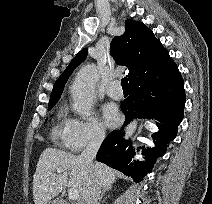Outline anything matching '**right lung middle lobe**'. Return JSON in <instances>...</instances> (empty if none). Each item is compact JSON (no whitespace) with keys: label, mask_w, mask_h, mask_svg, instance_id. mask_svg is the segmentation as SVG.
Instances as JSON below:
<instances>
[{"label":"right lung middle lobe","mask_w":212,"mask_h":204,"mask_svg":"<svg viewBox=\"0 0 212 204\" xmlns=\"http://www.w3.org/2000/svg\"><path fill=\"white\" fill-rule=\"evenodd\" d=\"M56 102H53V103H49V107L48 109L50 110L54 105H55Z\"/></svg>","instance_id":"obj_1"}]
</instances>
